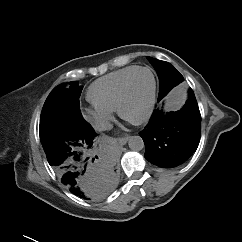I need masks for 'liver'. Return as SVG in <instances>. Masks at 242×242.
I'll return each instance as SVG.
<instances>
[{"label": "liver", "instance_id": "liver-1", "mask_svg": "<svg viewBox=\"0 0 242 242\" xmlns=\"http://www.w3.org/2000/svg\"><path fill=\"white\" fill-rule=\"evenodd\" d=\"M91 198H94V199H96V197H94V196H93V197H91Z\"/></svg>", "mask_w": 242, "mask_h": 242}]
</instances>
